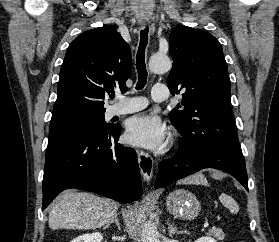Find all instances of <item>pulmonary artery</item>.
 Returning <instances> with one entry per match:
<instances>
[{
	"label": "pulmonary artery",
	"mask_w": 279,
	"mask_h": 242,
	"mask_svg": "<svg viewBox=\"0 0 279 242\" xmlns=\"http://www.w3.org/2000/svg\"><path fill=\"white\" fill-rule=\"evenodd\" d=\"M152 100L155 102L165 101L168 97V89L165 85L155 84L151 92ZM148 101L144 97L125 98L124 104L114 105L110 108L112 116L125 115L145 108Z\"/></svg>",
	"instance_id": "pulmonary-artery-1"
}]
</instances>
